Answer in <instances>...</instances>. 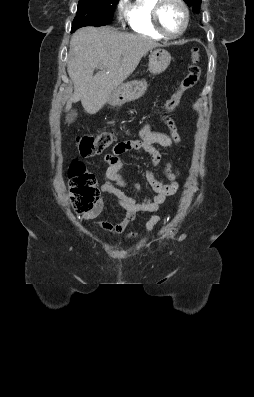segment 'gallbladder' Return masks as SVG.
Returning a JSON list of instances; mask_svg holds the SVG:
<instances>
[{"mask_svg":"<svg viewBox=\"0 0 254 397\" xmlns=\"http://www.w3.org/2000/svg\"><path fill=\"white\" fill-rule=\"evenodd\" d=\"M77 117V112L75 110H71L68 112L67 116H66V121L68 123L73 122Z\"/></svg>","mask_w":254,"mask_h":397,"instance_id":"1","label":"gallbladder"}]
</instances>
